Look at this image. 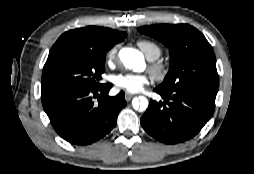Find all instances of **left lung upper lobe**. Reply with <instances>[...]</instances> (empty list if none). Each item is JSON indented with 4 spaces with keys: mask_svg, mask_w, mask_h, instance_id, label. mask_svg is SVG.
<instances>
[{
    "mask_svg": "<svg viewBox=\"0 0 254 174\" xmlns=\"http://www.w3.org/2000/svg\"><path fill=\"white\" fill-rule=\"evenodd\" d=\"M164 43L170 52V69L157 88L175 91L186 86L218 90L216 58L206 38L193 26L150 25L138 28Z\"/></svg>",
    "mask_w": 254,
    "mask_h": 174,
    "instance_id": "5c2ea615",
    "label": "left lung upper lobe"
}]
</instances>
